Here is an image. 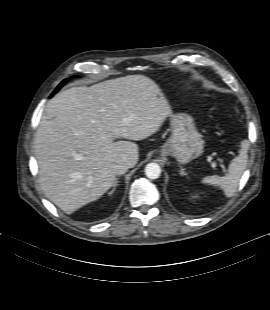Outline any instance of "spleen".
Instances as JSON below:
<instances>
[{"mask_svg":"<svg viewBox=\"0 0 270 310\" xmlns=\"http://www.w3.org/2000/svg\"><path fill=\"white\" fill-rule=\"evenodd\" d=\"M247 149L245 142L241 143L239 155L235 157L229 165L228 173L225 176H206L202 179L203 184L220 187L227 197H231L237 191L239 181L247 165Z\"/></svg>","mask_w":270,"mask_h":310,"instance_id":"1","label":"spleen"}]
</instances>
